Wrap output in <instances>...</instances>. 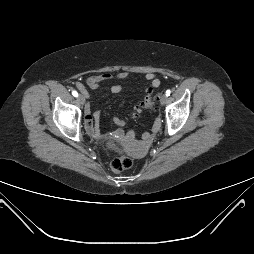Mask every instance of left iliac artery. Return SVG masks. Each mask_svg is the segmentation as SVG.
Wrapping results in <instances>:
<instances>
[{"instance_id":"left-iliac-artery-1","label":"left iliac artery","mask_w":254,"mask_h":254,"mask_svg":"<svg viewBox=\"0 0 254 254\" xmlns=\"http://www.w3.org/2000/svg\"><path fill=\"white\" fill-rule=\"evenodd\" d=\"M170 93H171V91H170V90H167V91H166V96H169Z\"/></svg>"}]
</instances>
